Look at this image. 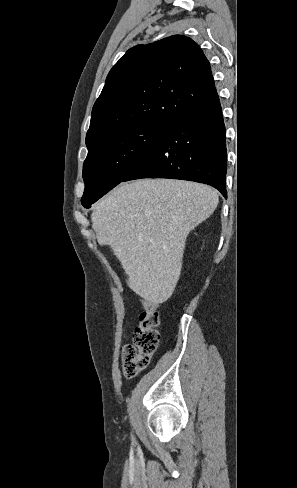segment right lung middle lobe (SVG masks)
<instances>
[{
  "mask_svg": "<svg viewBox=\"0 0 297 488\" xmlns=\"http://www.w3.org/2000/svg\"><path fill=\"white\" fill-rule=\"evenodd\" d=\"M170 124L148 122L119 129L92 146L83 164L85 208L123 181L155 145Z\"/></svg>",
  "mask_w": 297,
  "mask_h": 488,
  "instance_id": "obj_1",
  "label": "right lung middle lobe"
}]
</instances>
